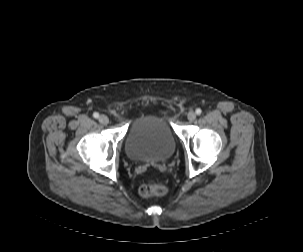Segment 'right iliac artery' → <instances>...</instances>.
<instances>
[{
	"instance_id": "obj_1",
	"label": "right iliac artery",
	"mask_w": 303,
	"mask_h": 252,
	"mask_svg": "<svg viewBox=\"0 0 303 252\" xmlns=\"http://www.w3.org/2000/svg\"><path fill=\"white\" fill-rule=\"evenodd\" d=\"M93 116H94V118H98V117H99V114H98L97 112H94V113H93Z\"/></svg>"
}]
</instances>
